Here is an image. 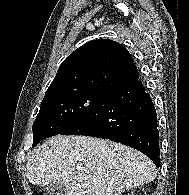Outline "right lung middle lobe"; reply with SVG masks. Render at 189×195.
Returning <instances> with one entry per match:
<instances>
[{"label":"right lung middle lobe","mask_w":189,"mask_h":195,"mask_svg":"<svg viewBox=\"0 0 189 195\" xmlns=\"http://www.w3.org/2000/svg\"><path fill=\"white\" fill-rule=\"evenodd\" d=\"M110 92L78 88L45 95L33 124V145L81 121Z\"/></svg>","instance_id":"obj_1"}]
</instances>
